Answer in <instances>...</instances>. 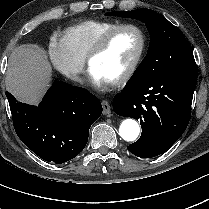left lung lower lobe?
<instances>
[{"mask_svg": "<svg viewBox=\"0 0 209 209\" xmlns=\"http://www.w3.org/2000/svg\"><path fill=\"white\" fill-rule=\"evenodd\" d=\"M196 64L155 78L132 76L113 99L116 114L140 120L142 134L127 149L142 158L167 151L183 134L191 116Z\"/></svg>", "mask_w": 209, "mask_h": 209, "instance_id": "obj_1", "label": "left lung lower lobe"}]
</instances>
